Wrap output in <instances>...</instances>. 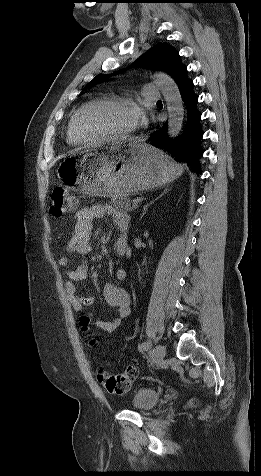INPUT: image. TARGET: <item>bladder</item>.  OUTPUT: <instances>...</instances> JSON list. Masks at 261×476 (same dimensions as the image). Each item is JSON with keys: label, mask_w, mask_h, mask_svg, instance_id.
I'll return each mask as SVG.
<instances>
[{"label": "bladder", "mask_w": 261, "mask_h": 476, "mask_svg": "<svg viewBox=\"0 0 261 476\" xmlns=\"http://www.w3.org/2000/svg\"><path fill=\"white\" fill-rule=\"evenodd\" d=\"M160 394L152 389L141 388L133 396L132 406L138 411H149L159 402Z\"/></svg>", "instance_id": "obj_1"}]
</instances>
